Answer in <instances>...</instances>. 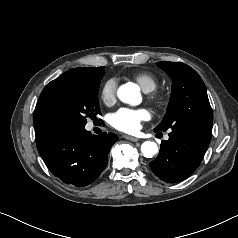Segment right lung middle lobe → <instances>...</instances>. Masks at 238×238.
Segmentation results:
<instances>
[{"label": "right lung middle lobe", "instance_id": "right-lung-middle-lobe-1", "mask_svg": "<svg viewBox=\"0 0 238 238\" xmlns=\"http://www.w3.org/2000/svg\"><path fill=\"white\" fill-rule=\"evenodd\" d=\"M104 67L91 68L88 76L64 75L53 87L56 125L76 124L85 126L87 118L101 115L98 91Z\"/></svg>", "mask_w": 238, "mask_h": 238}]
</instances>
